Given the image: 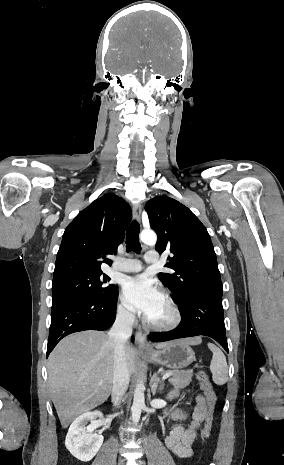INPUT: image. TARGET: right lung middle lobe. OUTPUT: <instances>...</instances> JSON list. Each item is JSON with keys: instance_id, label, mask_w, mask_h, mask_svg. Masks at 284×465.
I'll return each mask as SVG.
<instances>
[{"instance_id": "1", "label": "right lung middle lobe", "mask_w": 284, "mask_h": 465, "mask_svg": "<svg viewBox=\"0 0 284 465\" xmlns=\"http://www.w3.org/2000/svg\"><path fill=\"white\" fill-rule=\"evenodd\" d=\"M110 278L103 273L74 274L55 279L52 283V306L74 296H106L117 286L106 285Z\"/></svg>"}]
</instances>
